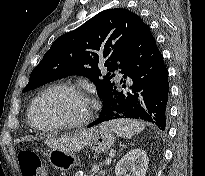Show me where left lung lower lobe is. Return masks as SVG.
<instances>
[{
    "instance_id": "obj_1",
    "label": "left lung lower lobe",
    "mask_w": 205,
    "mask_h": 176,
    "mask_svg": "<svg viewBox=\"0 0 205 176\" xmlns=\"http://www.w3.org/2000/svg\"><path fill=\"white\" fill-rule=\"evenodd\" d=\"M120 69L123 74L120 86L126 90L119 92V85L115 84L103 98L99 118L88 127L110 120L136 118L165 130L169 99L168 71L148 25L124 57ZM127 77L132 85L127 84Z\"/></svg>"
}]
</instances>
